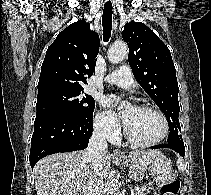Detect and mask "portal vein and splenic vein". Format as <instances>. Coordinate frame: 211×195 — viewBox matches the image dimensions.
<instances>
[{
    "label": "portal vein and splenic vein",
    "instance_id": "1",
    "mask_svg": "<svg viewBox=\"0 0 211 195\" xmlns=\"http://www.w3.org/2000/svg\"><path fill=\"white\" fill-rule=\"evenodd\" d=\"M131 195H135V191H132V192H131Z\"/></svg>",
    "mask_w": 211,
    "mask_h": 195
}]
</instances>
